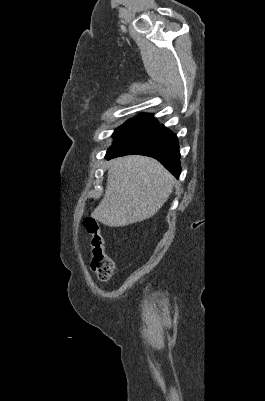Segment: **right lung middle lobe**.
<instances>
[{
    "label": "right lung middle lobe",
    "instance_id": "obj_1",
    "mask_svg": "<svg viewBox=\"0 0 265 401\" xmlns=\"http://www.w3.org/2000/svg\"><path fill=\"white\" fill-rule=\"evenodd\" d=\"M152 118L151 115L148 114H141L140 116H137L135 118H132L130 120H128L127 122H125L123 125H121L120 127H118L115 132L113 133V137L116 138L119 135H121L122 133L126 132L127 130H129L130 128L138 125L141 122H144L148 119Z\"/></svg>",
    "mask_w": 265,
    "mask_h": 401
}]
</instances>
